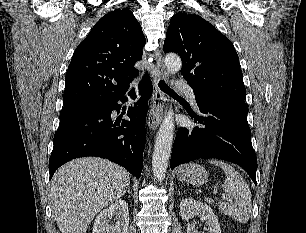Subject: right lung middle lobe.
Returning <instances> with one entry per match:
<instances>
[{
	"label": "right lung middle lobe",
	"mask_w": 306,
	"mask_h": 233,
	"mask_svg": "<svg viewBox=\"0 0 306 233\" xmlns=\"http://www.w3.org/2000/svg\"><path fill=\"white\" fill-rule=\"evenodd\" d=\"M105 104H97V103H80V104H74L69 106H64L60 113V118L69 116L74 113H78L90 108L99 107Z\"/></svg>",
	"instance_id": "right-lung-middle-lobe-1"
}]
</instances>
